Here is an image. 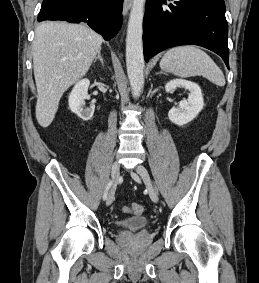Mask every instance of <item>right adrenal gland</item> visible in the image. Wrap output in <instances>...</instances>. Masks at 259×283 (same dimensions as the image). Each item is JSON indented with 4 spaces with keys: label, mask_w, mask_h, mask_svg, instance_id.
Returning <instances> with one entry per match:
<instances>
[{
    "label": "right adrenal gland",
    "mask_w": 259,
    "mask_h": 283,
    "mask_svg": "<svg viewBox=\"0 0 259 283\" xmlns=\"http://www.w3.org/2000/svg\"><path fill=\"white\" fill-rule=\"evenodd\" d=\"M99 60L101 62V64L104 66V61L103 58L101 56V51L98 52V55L95 57V62Z\"/></svg>",
    "instance_id": "obj_1"
}]
</instances>
